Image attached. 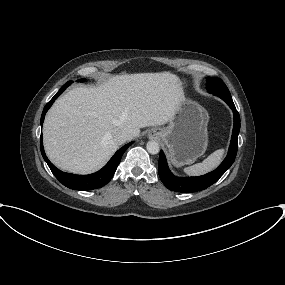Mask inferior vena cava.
Listing matches in <instances>:
<instances>
[{"instance_id":"602c4592","label":"inferior vena cava","mask_w":285,"mask_h":285,"mask_svg":"<svg viewBox=\"0 0 285 285\" xmlns=\"http://www.w3.org/2000/svg\"><path fill=\"white\" fill-rule=\"evenodd\" d=\"M129 139V135L126 131H117L113 134V140L121 145Z\"/></svg>"}]
</instances>
